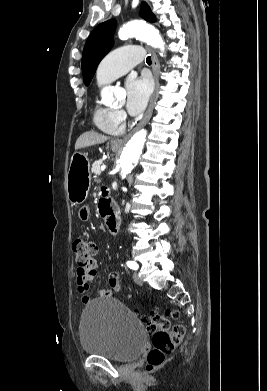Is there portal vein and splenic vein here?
I'll use <instances>...</instances> for the list:
<instances>
[{"label":"portal vein and splenic vein","instance_id":"portal-vein-and-splenic-vein-1","mask_svg":"<svg viewBox=\"0 0 267 391\" xmlns=\"http://www.w3.org/2000/svg\"><path fill=\"white\" fill-rule=\"evenodd\" d=\"M106 169V166L105 165H102L101 166V171H104Z\"/></svg>","mask_w":267,"mask_h":391}]
</instances>
